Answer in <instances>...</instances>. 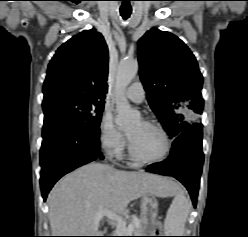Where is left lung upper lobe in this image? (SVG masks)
Returning <instances> with one entry per match:
<instances>
[{"mask_svg":"<svg viewBox=\"0 0 248 237\" xmlns=\"http://www.w3.org/2000/svg\"><path fill=\"white\" fill-rule=\"evenodd\" d=\"M137 46L148 102L170 138L200 126L203 77L190 49L172 33L156 28L140 38Z\"/></svg>","mask_w":248,"mask_h":237,"instance_id":"1","label":"left lung upper lobe"}]
</instances>
